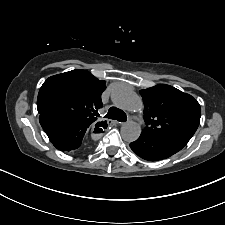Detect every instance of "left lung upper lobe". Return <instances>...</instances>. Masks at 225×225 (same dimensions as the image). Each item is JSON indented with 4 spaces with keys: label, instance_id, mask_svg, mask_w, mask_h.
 <instances>
[{
    "label": "left lung upper lobe",
    "instance_id": "obj_1",
    "mask_svg": "<svg viewBox=\"0 0 225 225\" xmlns=\"http://www.w3.org/2000/svg\"><path fill=\"white\" fill-rule=\"evenodd\" d=\"M140 94L147 125L142 130L144 134L191 139L201 116L200 105L194 97L166 84L140 90Z\"/></svg>",
    "mask_w": 225,
    "mask_h": 225
}]
</instances>
